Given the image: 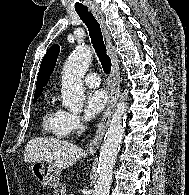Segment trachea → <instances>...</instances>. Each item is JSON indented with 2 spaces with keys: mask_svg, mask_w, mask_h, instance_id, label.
Masks as SVG:
<instances>
[{
  "mask_svg": "<svg viewBox=\"0 0 189 195\" xmlns=\"http://www.w3.org/2000/svg\"><path fill=\"white\" fill-rule=\"evenodd\" d=\"M75 11L88 28L93 48L95 49V52L99 58L104 72L106 74H109L111 71L112 64L111 59L106 52V46L103 41L100 24L95 19L93 14L88 11L87 7H76Z\"/></svg>",
  "mask_w": 189,
  "mask_h": 195,
  "instance_id": "1",
  "label": "trachea"
}]
</instances>
